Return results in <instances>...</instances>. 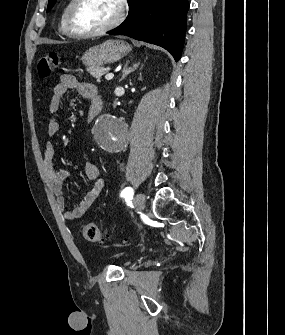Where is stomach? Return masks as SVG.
<instances>
[{
  "mask_svg": "<svg viewBox=\"0 0 285 335\" xmlns=\"http://www.w3.org/2000/svg\"><path fill=\"white\" fill-rule=\"evenodd\" d=\"M131 52V46L123 40H106L100 46H93L84 52L81 60L84 66L103 68L105 64H114Z\"/></svg>",
  "mask_w": 285,
  "mask_h": 335,
  "instance_id": "1",
  "label": "stomach"
}]
</instances>
